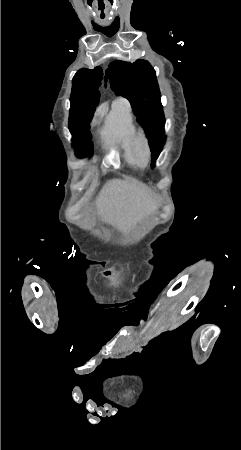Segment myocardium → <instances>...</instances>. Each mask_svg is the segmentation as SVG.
I'll return each instance as SVG.
<instances>
[{
    "label": "myocardium",
    "mask_w": 241,
    "mask_h": 450,
    "mask_svg": "<svg viewBox=\"0 0 241 450\" xmlns=\"http://www.w3.org/2000/svg\"><path fill=\"white\" fill-rule=\"evenodd\" d=\"M138 134V136L130 137L128 140L130 142H133L134 144H130L129 148L134 149L135 153L134 156L136 162H153V157H149L152 152V149L150 148V145L147 142V139L145 138L144 133L140 130L137 133L134 132V135ZM148 135V134H146ZM137 143V144H135Z\"/></svg>",
    "instance_id": "f54148a6"
}]
</instances>
